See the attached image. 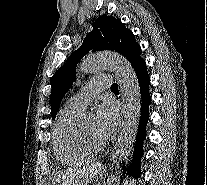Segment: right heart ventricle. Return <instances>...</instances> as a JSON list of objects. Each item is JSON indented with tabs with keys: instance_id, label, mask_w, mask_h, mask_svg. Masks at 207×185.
<instances>
[{
	"instance_id": "1",
	"label": "right heart ventricle",
	"mask_w": 207,
	"mask_h": 185,
	"mask_svg": "<svg viewBox=\"0 0 207 185\" xmlns=\"http://www.w3.org/2000/svg\"><path fill=\"white\" fill-rule=\"evenodd\" d=\"M78 112L65 108L59 115L53 133V143L59 159L69 165L92 161L96 153L83 141L75 117Z\"/></svg>"
}]
</instances>
